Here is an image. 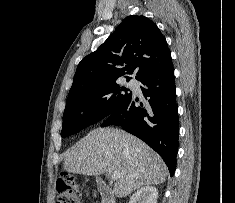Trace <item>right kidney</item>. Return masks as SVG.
<instances>
[{
    "instance_id": "ca27d5eb",
    "label": "right kidney",
    "mask_w": 235,
    "mask_h": 203,
    "mask_svg": "<svg viewBox=\"0 0 235 203\" xmlns=\"http://www.w3.org/2000/svg\"><path fill=\"white\" fill-rule=\"evenodd\" d=\"M158 191L153 186H144L135 192L129 203H157Z\"/></svg>"
}]
</instances>
